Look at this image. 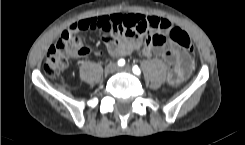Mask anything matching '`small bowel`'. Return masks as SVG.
<instances>
[{"label":"small bowel","mask_w":245,"mask_h":145,"mask_svg":"<svg viewBox=\"0 0 245 145\" xmlns=\"http://www.w3.org/2000/svg\"><path fill=\"white\" fill-rule=\"evenodd\" d=\"M80 30H99L102 31L103 42L107 45L108 51L112 56L123 57L139 49L145 41L143 55H160L170 65L168 82L173 85L182 83L193 66V59L189 52L180 46L171 44L169 48L165 45H158L155 37L158 33L167 31L171 23L164 18L156 15H145L141 13L129 14H110L97 18H90L75 24ZM117 34H121L117 38ZM148 37L144 40L143 36ZM75 47H85L88 56L92 53L91 48L85 46L80 40L74 42Z\"/></svg>","instance_id":"small-bowel-1"}]
</instances>
